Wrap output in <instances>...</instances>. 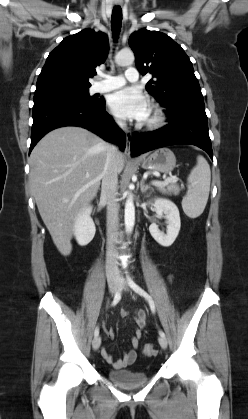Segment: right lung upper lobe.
<instances>
[{"label": "right lung upper lobe", "instance_id": "cb5924a9", "mask_svg": "<svg viewBox=\"0 0 248 419\" xmlns=\"http://www.w3.org/2000/svg\"><path fill=\"white\" fill-rule=\"evenodd\" d=\"M109 52L107 36L91 29L66 37L49 54L36 84L37 93L63 89H88L95 67Z\"/></svg>", "mask_w": 248, "mask_h": 419}]
</instances>
